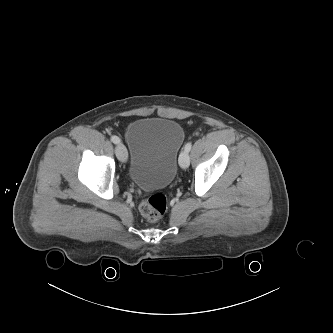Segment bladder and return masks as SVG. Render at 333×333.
<instances>
[{"label":"bladder","instance_id":"bladder-1","mask_svg":"<svg viewBox=\"0 0 333 333\" xmlns=\"http://www.w3.org/2000/svg\"><path fill=\"white\" fill-rule=\"evenodd\" d=\"M185 139L182 125L172 119L141 118L128 128V174L144 190L162 189L174 179L179 150Z\"/></svg>","mask_w":333,"mask_h":333}]
</instances>
